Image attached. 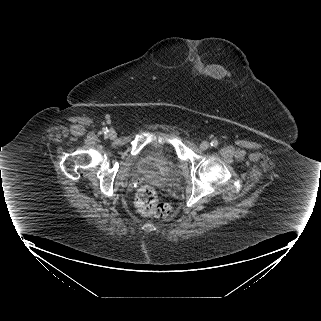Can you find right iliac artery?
<instances>
[{
  "label": "right iliac artery",
  "instance_id": "82829eb1",
  "mask_svg": "<svg viewBox=\"0 0 321 321\" xmlns=\"http://www.w3.org/2000/svg\"><path fill=\"white\" fill-rule=\"evenodd\" d=\"M103 132L106 134L108 132L107 128H103Z\"/></svg>",
  "mask_w": 321,
  "mask_h": 321
}]
</instances>
